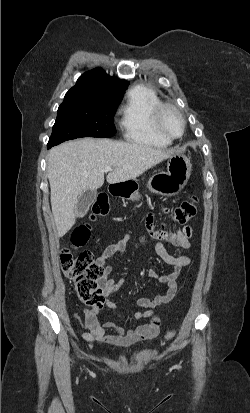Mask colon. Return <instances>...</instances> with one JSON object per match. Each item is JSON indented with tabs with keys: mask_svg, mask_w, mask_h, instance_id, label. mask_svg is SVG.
<instances>
[{
	"mask_svg": "<svg viewBox=\"0 0 250 413\" xmlns=\"http://www.w3.org/2000/svg\"><path fill=\"white\" fill-rule=\"evenodd\" d=\"M109 204L105 196H99L92 204V217H101L108 213ZM196 214V200L182 202L174 209L171 220L177 224H185ZM91 235L88 225L77 227L72 236V247L78 248L86 245ZM62 272L73 282L78 300L89 308H100L103 303V293L99 280L103 277L105 270L98 265L90 252L82 251L74 257L70 248H65L60 255ZM176 334L174 329L165 335L166 340L172 339Z\"/></svg>",
	"mask_w": 250,
	"mask_h": 413,
	"instance_id": "5ec220e1",
	"label": "colon"
}]
</instances>
